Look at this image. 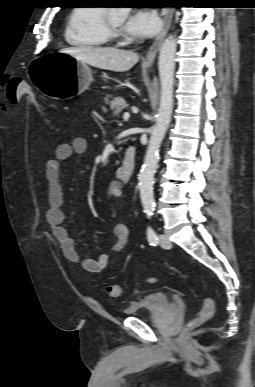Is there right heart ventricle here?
<instances>
[{"instance_id": "right-heart-ventricle-1", "label": "right heart ventricle", "mask_w": 255, "mask_h": 387, "mask_svg": "<svg viewBox=\"0 0 255 387\" xmlns=\"http://www.w3.org/2000/svg\"><path fill=\"white\" fill-rule=\"evenodd\" d=\"M106 9L96 6H78L70 12L66 27V41L80 48H97L108 45L110 39L104 29Z\"/></svg>"}]
</instances>
